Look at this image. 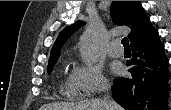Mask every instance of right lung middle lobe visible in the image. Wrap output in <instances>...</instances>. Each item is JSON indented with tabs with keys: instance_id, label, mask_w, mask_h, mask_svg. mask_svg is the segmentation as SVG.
Returning a JSON list of instances; mask_svg holds the SVG:
<instances>
[{
	"instance_id": "dd1d6c3e",
	"label": "right lung middle lobe",
	"mask_w": 171,
	"mask_h": 110,
	"mask_svg": "<svg viewBox=\"0 0 171 110\" xmlns=\"http://www.w3.org/2000/svg\"><path fill=\"white\" fill-rule=\"evenodd\" d=\"M58 58H59V56H55V57L49 59V62H48V73L51 72V70H52L53 66L55 65V63H56Z\"/></svg>"
}]
</instances>
